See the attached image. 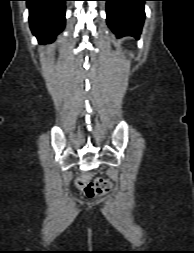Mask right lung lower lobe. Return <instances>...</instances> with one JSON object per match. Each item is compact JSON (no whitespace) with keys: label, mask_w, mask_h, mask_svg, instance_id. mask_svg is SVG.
I'll return each mask as SVG.
<instances>
[{"label":"right lung lower lobe","mask_w":194,"mask_h":253,"mask_svg":"<svg viewBox=\"0 0 194 253\" xmlns=\"http://www.w3.org/2000/svg\"><path fill=\"white\" fill-rule=\"evenodd\" d=\"M29 8L32 33L41 43L53 41L64 29L65 1L67 0H24Z\"/></svg>","instance_id":"1"}]
</instances>
